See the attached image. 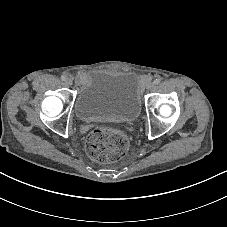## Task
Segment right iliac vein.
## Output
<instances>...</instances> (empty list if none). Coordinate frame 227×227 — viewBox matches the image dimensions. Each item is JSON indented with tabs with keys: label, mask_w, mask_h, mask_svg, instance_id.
Segmentation results:
<instances>
[{
	"label": "right iliac vein",
	"mask_w": 227,
	"mask_h": 227,
	"mask_svg": "<svg viewBox=\"0 0 227 227\" xmlns=\"http://www.w3.org/2000/svg\"><path fill=\"white\" fill-rule=\"evenodd\" d=\"M72 83H73V81L71 79H67L66 80V85L71 86Z\"/></svg>",
	"instance_id": "right-iliac-vein-1"
}]
</instances>
